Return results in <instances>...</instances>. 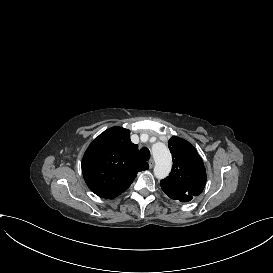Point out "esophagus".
I'll return each mask as SVG.
<instances>
[{"instance_id":"1","label":"esophagus","mask_w":273,"mask_h":273,"mask_svg":"<svg viewBox=\"0 0 273 273\" xmlns=\"http://www.w3.org/2000/svg\"><path fill=\"white\" fill-rule=\"evenodd\" d=\"M154 167V160L151 158L149 160V168L152 169Z\"/></svg>"}]
</instances>
